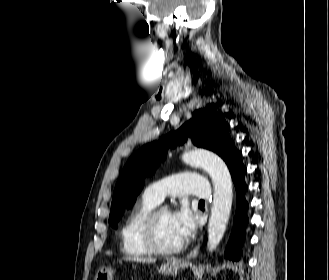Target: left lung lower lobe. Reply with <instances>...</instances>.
Instances as JSON below:
<instances>
[{
    "label": "left lung lower lobe",
    "mask_w": 329,
    "mask_h": 280,
    "mask_svg": "<svg viewBox=\"0 0 329 280\" xmlns=\"http://www.w3.org/2000/svg\"><path fill=\"white\" fill-rule=\"evenodd\" d=\"M230 172L237 192V210L225 255L227 258L237 261L240 258L241 245L245 237L244 228L248 223V218L246 215L248 203L245 200V192L248 187L244 181L246 167L243 165L242 160L238 165H235L232 169H230Z\"/></svg>",
    "instance_id": "1"
}]
</instances>
